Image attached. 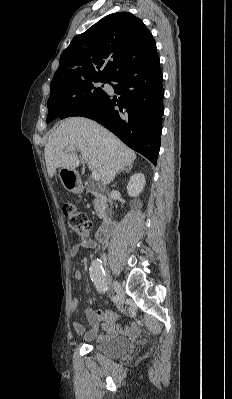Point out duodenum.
Wrapping results in <instances>:
<instances>
[{
	"instance_id": "410a0bca",
	"label": "duodenum",
	"mask_w": 232,
	"mask_h": 399,
	"mask_svg": "<svg viewBox=\"0 0 232 399\" xmlns=\"http://www.w3.org/2000/svg\"><path fill=\"white\" fill-rule=\"evenodd\" d=\"M114 228V222L112 220H107L96 232V240L100 243L106 242Z\"/></svg>"
}]
</instances>
